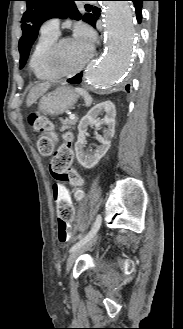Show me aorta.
<instances>
[{"label":"aorta","mask_w":183,"mask_h":329,"mask_svg":"<svg viewBox=\"0 0 183 329\" xmlns=\"http://www.w3.org/2000/svg\"><path fill=\"white\" fill-rule=\"evenodd\" d=\"M106 51L86 74L88 82L100 90L114 88L124 76L135 37L134 11L127 1H109L104 6Z\"/></svg>","instance_id":"obj_1"}]
</instances>
